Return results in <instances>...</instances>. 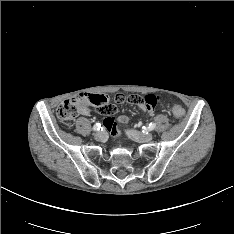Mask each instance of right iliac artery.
I'll return each mask as SVG.
<instances>
[{"label": "right iliac artery", "mask_w": 234, "mask_h": 234, "mask_svg": "<svg viewBox=\"0 0 234 234\" xmlns=\"http://www.w3.org/2000/svg\"><path fill=\"white\" fill-rule=\"evenodd\" d=\"M100 128H101V124H100V123H96V124L93 126V130H94V131H98V130H100Z\"/></svg>", "instance_id": "1"}]
</instances>
